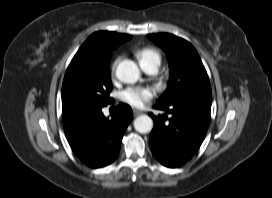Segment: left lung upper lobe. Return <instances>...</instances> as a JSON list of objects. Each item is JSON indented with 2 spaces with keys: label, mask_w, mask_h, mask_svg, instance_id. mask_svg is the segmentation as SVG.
I'll list each match as a JSON object with an SVG mask.
<instances>
[{
  "label": "left lung upper lobe",
  "mask_w": 272,
  "mask_h": 198,
  "mask_svg": "<svg viewBox=\"0 0 272 198\" xmlns=\"http://www.w3.org/2000/svg\"><path fill=\"white\" fill-rule=\"evenodd\" d=\"M147 37L163 49L169 62L168 86L157 103L183 101L211 105L210 81L196 49L188 41L168 33Z\"/></svg>",
  "instance_id": "left-lung-upper-lobe-1"
}]
</instances>
